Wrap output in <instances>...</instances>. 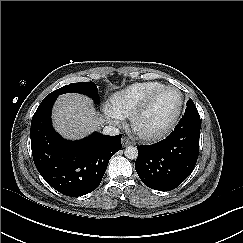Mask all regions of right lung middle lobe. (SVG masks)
<instances>
[{
  "instance_id": "obj_1",
  "label": "right lung middle lobe",
  "mask_w": 243,
  "mask_h": 243,
  "mask_svg": "<svg viewBox=\"0 0 243 243\" xmlns=\"http://www.w3.org/2000/svg\"><path fill=\"white\" fill-rule=\"evenodd\" d=\"M70 92H75V93H81L84 95H87L94 99L96 102L99 100V95L97 93V86L94 82H80V83H71L69 85H65L46 97H57L58 95L65 94V93H70Z\"/></svg>"
}]
</instances>
